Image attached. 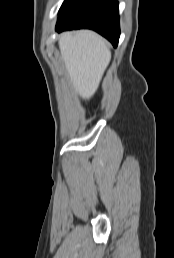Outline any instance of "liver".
<instances>
[{"mask_svg": "<svg viewBox=\"0 0 174 258\" xmlns=\"http://www.w3.org/2000/svg\"><path fill=\"white\" fill-rule=\"evenodd\" d=\"M59 48L76 92L90 99L99 87L111 52L102 37L90 30L63 33Z\"/></svg>", "mask_w": 174, "mask_h": 258, "instance_id": "1", "label": "liver"}]
</instances>
